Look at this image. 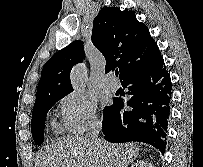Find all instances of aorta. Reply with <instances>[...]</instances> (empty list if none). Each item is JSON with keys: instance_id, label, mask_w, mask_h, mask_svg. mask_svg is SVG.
Wrapping results in <instances>:
<instances>
[{"instance_id": "1", "label": "aorta", "mask_w": 203, "mask_h": 167, "mask_svg": "<svg viewBox=\"0 0 203 167\" xmlns=\"http://www.w3.org/2000/svg\"><path fill=\"white\" fill-rule=\"evenodd\" d=\"M71 81L76 91L81 92L85 90L87 77L83 66H77L73 69Z\"/></svg>"}]
</instances>
